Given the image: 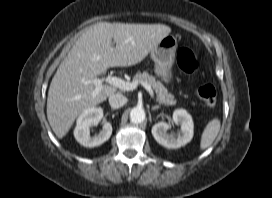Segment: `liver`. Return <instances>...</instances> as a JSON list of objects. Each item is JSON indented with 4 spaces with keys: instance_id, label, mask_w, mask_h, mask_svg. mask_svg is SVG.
I'll return each instance as SVG.
<instances>
[{
    "instance_id": "liver-1",
    "label": "liver",
    "mask_w": 272,
    "mask_h": 198,
    "mask_svg": "<svg viewBox=\"0 0 272 198\" xmlns=\"http://www.w3.org/2000/svg\"><path fill=\"white\" fill-rule=\"evenodd\" d=\"M170 32L163 24L99 22L90 26L61 62L49 87L47 118L56 136L63 138L79 114L117 90L102 85L95 94V85L84 80L95 79L109 67L140 63Z\"/></svg>"
}]
</instances>
